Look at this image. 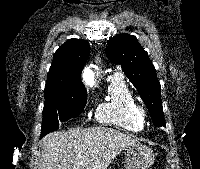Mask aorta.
<instances>
[{
    "label": "aorta",
    "mask_w": 200,
    "mask_h": 169,
    "mask_svg": "<svg viewBox=\"0 0 200 169\" xmlns=\"http://www.w3.org/2000/svg\"><path fill=\"white\" fill-rule=\"evenodd\" d=\"M83 76L89 85L94 84V73L89 68L84 70Z\"/></svg>",
    "instance_id": "762f6f07"
}]
</instances>
